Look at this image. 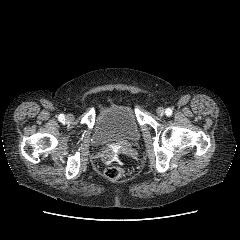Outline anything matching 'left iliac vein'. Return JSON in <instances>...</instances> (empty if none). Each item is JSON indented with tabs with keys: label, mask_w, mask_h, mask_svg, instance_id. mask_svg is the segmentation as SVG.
Here are the masks:
<instances>
[{
	"label": "left iliac vein",
	"mask_w": 240,
	"mask_h": 240,
	"mask_svg": "<svg viewBox=\"0 0 240 240\" xmlns=\"http://www.w3.org/2000/svg\"><path fill=\"white\" fill-rule=\"evenodd\" d=\"M156 112L159 116H163L165 114V109L163 107H159Z\"/></svg>",
	"instance_id": "1"
}]
</instances>
